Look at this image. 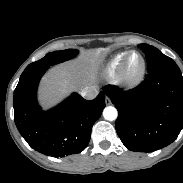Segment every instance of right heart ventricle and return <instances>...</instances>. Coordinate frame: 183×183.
Instances as JSON below:
<instances>
[{
    "mask_svg": "<svg viewBox=\"0 0 183 183\" xmlns=\"http://www.w3.org/2000/svg\"><path fill=\"white\" fill-rule=\"evenodd\" d=\"M127 53H128L127 51L119 52L112 57V59L108 64V68L110 72H115L121 66Z\"/></svg>",
    "mask_w": 183,
    "mask_h": 183,
    "instance_id": "e07e8e85",
    "label": "right heart ventricle"
}]
</instances>
